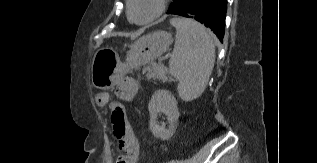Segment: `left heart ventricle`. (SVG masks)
Returning <instances> with one entry per match:
<instances>
[{
    "mask_svg": "<svg viewBox=\"0 0 317 163\" xmlns=\"http://www.w3.org/2000/svg\"><path fill=\"white\" fill-rule=\"evenodd\" d=\"M157 10V0H134L132 16L141 21L151 17Z\"/></svg>",
    "mask_w": 317,
    "mask_h": 163,
    "instance_id": "obj_1",
    "label": "left heart ventricle"
}]
</instances>
